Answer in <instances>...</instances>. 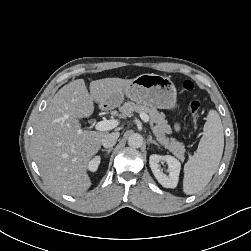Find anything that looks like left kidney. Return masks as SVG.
<instances>
[{
    "label": "left kidney",
    "mask_w": 251,
    "mask_h": 251,
    "mask_svg": "<svg viewBox=\"0 0 251 251\" xmlns=\"http://www.w3.org/2000/svg\"><path fill=\"white\" fill-rule=\"evenodd\" d=\"M164 161L168 165L169 174L166 175L160 169L159 162ZM150 168L157 181L165 188H175L178 184L181 163L171 155L152 154L149 157Z\"/></svg>",
    "instance_id": "left-kidney-1"
}]
</instances>
